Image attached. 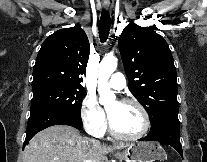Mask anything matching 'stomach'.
<instances>
[{
	"mask_svg": "<svg viewBox=\"0 0 207 162\" xmlns=\"http://www.w3.org/2000/svg\"><path fill=\"white\" fill-rule=\"evenodd\" d=\"M116 156L126 162H154L155 160H165L166 152L160 144L154 142H138L130 144Z\"/></svg>",
	"mask_w": 207,
	"mask_h": 162,
	"instance_id": "obj_1",
	"label": "stomach"
}]
</instances>
